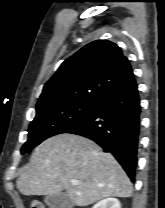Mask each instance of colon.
I'll return each mask as SVG.
<instances>
[{"label":"colon","mask_w":165,"mask_h":208,"mask_svg":"<svg viewBox=\"0 0 165 208\" xmlns=\"http://www.w3.org/2000/svg\"><path fill=\"white\" fill-rule=\"evenodd\" d=\"M31 208H44L43 204H41L40 202H34L31 205Z\"/></svg>","instance_id":"obj_1"}]
</instances>
